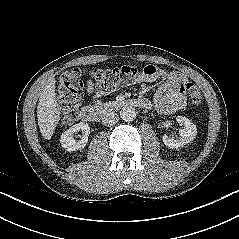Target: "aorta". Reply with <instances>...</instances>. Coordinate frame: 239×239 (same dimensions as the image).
Listing matches in <instances>:
<instances>
[{"label":"aorta","mask_w":239,"mask_h":239,"mask_svg":"<svg viewBox=\"0 0 239 239\" xmlns=\"http://www.w3.org/2000/svg\"><path fill=\"white\" fill-rule=\"evenodd\" d=\"M120 117L125 122L133 121L136 118L135 108H133L131 106L122 108V110L120 111Z\"/></svg>","instance_id":"1"}]
</instances>
